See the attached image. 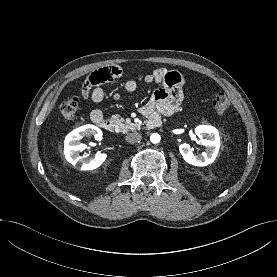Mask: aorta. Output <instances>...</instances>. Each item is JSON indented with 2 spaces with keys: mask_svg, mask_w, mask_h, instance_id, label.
Listing matches in <instances>:
<instances>
[{
  "mask_svg": "<svg viewBox=\"0 0 277 277\" xmlns=\"http://www.w3.org/2000/svg\"><path fill=\"white\" fill-rule=\"evenodd\" d=\"M150 140H151L152 143L157 144V143L160 142L161 137H160L159 134L153 133V134L150 136Z\"/></svg>",
  "mask_w": 277,
  "mask_h": 277,
  "instance_id": "aorta-1",
  "label": "aorta"
}]
</instances>
